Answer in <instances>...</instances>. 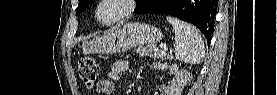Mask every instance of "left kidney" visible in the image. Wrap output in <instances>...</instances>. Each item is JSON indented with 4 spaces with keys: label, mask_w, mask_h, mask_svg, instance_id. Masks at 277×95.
<instances>
[{
    "label": "left kidney",
    "mask_w": 277,
    "mask_h": 95,
    "mask_svg": "<svg viewBox=\"0 0 277 95\" xmlns=\"http://www.w3.org/2000/svg\"><path fill=\"white\" fill-rule=\"evenodd\" d=\"M170 70L172 73H174L175 77L171 82H169L166 92L172 94L182 89L185 81L190 76V73L188 71H178V68L174 66H172Z\"/></svg>",
    "instance_id": "1"
}]
</instances>
